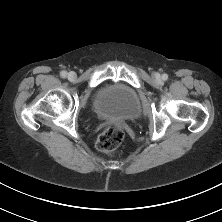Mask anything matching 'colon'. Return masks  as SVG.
Instances as JSON below:
<instances>
[{"label":"colon","instance_id":"colon-1","mask_svg":"<svg viewBox=\"0 0 222 222\" xmlns=\"http://www.w3.org/2000/svg\"><path fill=\"white\" fill-rule=\"evenodd\" d=\"M124 131L119 126L105 129L97 140V148L105 153H114L124 140Z\"/></svg>","mask_w":222,"mask_h":222}]
</instances>
